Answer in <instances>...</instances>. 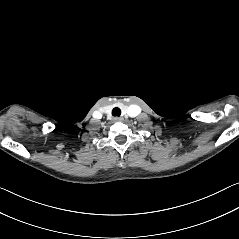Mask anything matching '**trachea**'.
<instances>
[{
  "label": "trachea",
  "instance_id": "1",
  "mask_svg": "<svg viewBox=\"0 0 239 239\" xmlns=\"http://www.w3.org/2000/svg\"><path fill=\"white\" fill-rule=\"evenodd\" d=\"M112 115L115 116V117H119V116L121 115V110H120V108L115 107V108L112 110Z\"/></svg>",
  "mask_w": 239,
  "mask_h": 239
}]
</instances>
